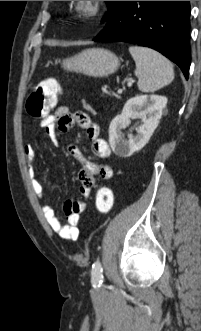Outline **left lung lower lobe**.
<instances>
[{
    "instance_id": "obj_1",
    "label": "left lung lower lobe",
    "mask_w": 201,
    "mask_h": 331,
    "mask_svg": "<svg viewBox=\"0 0 201 331\" xmlns=\"http://www.w3.org/2000/svg\"><path fill=\"white\" fill-rule=\"evenodd\" d=\"M189 1H121L94 41H123L155 49L189 75Z\"/></svg>"
}]
</instances>
